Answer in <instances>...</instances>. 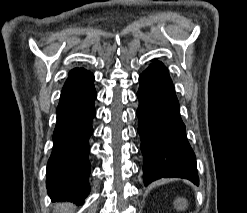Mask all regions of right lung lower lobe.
Returning a JSON list of instances; mask_svg holds the SVG:
<instances>
[{
	"instance_id": "right-lung-lower-lobe-1",
	"label": "right lung lower lobe",
	"mask_w": 247,
	"mask_h": 213,
	"mask_svg": "<svg viewBox=\"0 0 247 213\" xmlns=\"http://www.w3.org/2000/svg\"><path fill=\"white\" fill-rule=\"evenodd\" d=\"M94 75L72 69L63 86L53 133L54 147L47 165V189L52 200L83 203L90 192L89 137L93 133L96 91Z\"/></svg>"
}]
</instances>
